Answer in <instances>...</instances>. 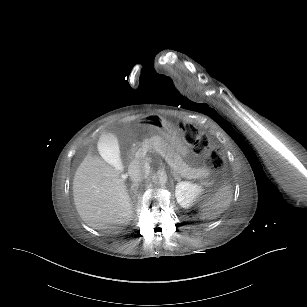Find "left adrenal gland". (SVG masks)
Segmentation results:
<instances>
[{"mask_svg": "<svg viewBox=\"0 0 307 307\" xmlns=\"http://www.w3.org/2000/svg\"><path fill=\"white\" fill-rule=\"evenodd\" d=\"M175 180H179V175L176 172H171Z\"/></svg>", "mask_w": 307, "mask_h": 307, "instance_id": "a2214340", "label": "left adrenal gland"}]
</instances>
